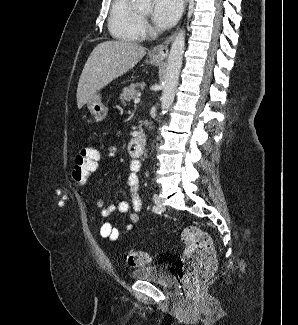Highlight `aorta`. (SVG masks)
Instances as JSON below:
<instances>
[{"label":"aorta","instance_id":"obj_1","mask_svg":"<svg viewBox=\"0 0 298 325\" xmlns=\"http://www.w3.org/2000/svg\"><path fill=\"white\" fill-rule=\"evenodd\" d=\"M137 8L142 10H150L153 8V0H135ZM186 30L184 26L179 28L176 32L174 40L170 46L166 70L164 74L162 94L160 96L161 110L167 112L171 104L174 102L176 88L179 82V76L181 72V66L183 62V54L185 48Z\"/></svg>","mask_w":298,"mask_h":325}]
</instances>
